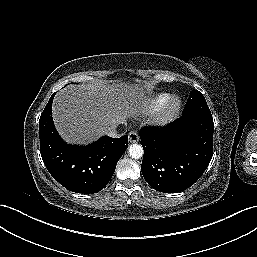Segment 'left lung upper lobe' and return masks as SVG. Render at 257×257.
I'll use <instances>...</instances> for the list:
<instances>
[{"mask_svg": "<svg viewBox=\"0 0 257 257\" xmlns=\"http://www.w3.org/2000/svg\"><path fill=\"white\" fill-rule=\"evenodd\" d=\"M202 114L210 116L211 112L201 92L193 90L187 100L183 115Z\"/></svg>", "mask_w": 257, "mask_h": 257, "instance_id": "obj_1", "label": "left lung upper lobe"}]
</instances>
